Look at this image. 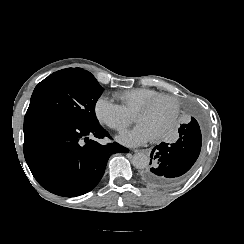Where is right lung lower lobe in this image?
<instances>
[{
  "label": "right lung lower lobe",
  "mask_w": 244,
  "mask_h": 244,
  "mask_svg": "<svg viewBox=\"0 0 244 244\" xmlns=\"http://www.w3.org/2000/svg\"><path fill=\"white\" fill-rule=\"evenodd\" d=\"M110 137L100 124L81 125L47 113H26L24 156L46 190L73 197L91 191L101 180L109 157L129 150L114 142L101 145L89 138Z\"/></svg>",
  "instance_id": "right-lung-lower-lobe-1"
}]
</instances>
